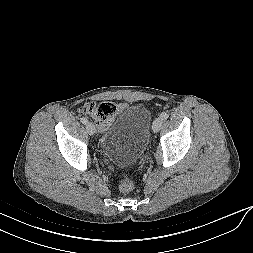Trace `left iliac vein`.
<instances>
[{"label":"left iliac vein","mask_w":253,"mask_h":253,"mask_svg":"<svg viewBox=\"0 0 253 253\" xmlns=\"http://www.w3.org/2000/svg\"><path fill=\"white\" fill-rule=\"evenodd\" d=\"M163 123V119L161 117H158L154 120L152 129L154 132H158L161 129Z\"/></svg>","instance_id":"left-iliac-vein-1"}]
</instances>
